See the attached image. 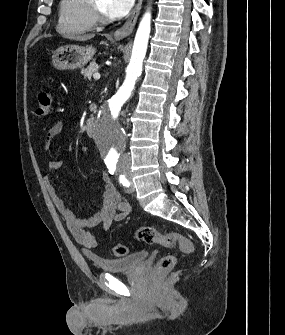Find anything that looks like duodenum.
Masks as SVG:
<instances>
[{
	"label": "duodenum",
	"mask_w": 285,
	"mask_h": 335,
	"mask_svg": "<svg viewBox=\"0 0 285 335\" xmlns=\"http://www.w3.org/2000/svg\"><path fill=\"white\" fill-rule=\"evenodd\" d=\"M95 120L93 118H89L86 121V131L89 135L94 134Z\"/></svg>",
	"instance_id": "duodenum-1"
}]
</instances>
